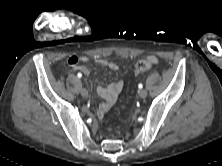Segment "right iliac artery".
<instances>
[{
	"label": "right iliac artery",
	"instance_id": "right-iliac-artery-1",
	"mask_svg": "<svg viewBox=\"0 0 222 166\" xmlns=\"http://www.w3.org/2000/svg\"><path fill=\"white\" fill-rule=\"evenodd\" d=\"M77 76H78L79 78H81V77H82V74H81V73H78Z\"/></svg>",
	"mask_w": 222,
	"mask_h": 166
}]
</instances>
